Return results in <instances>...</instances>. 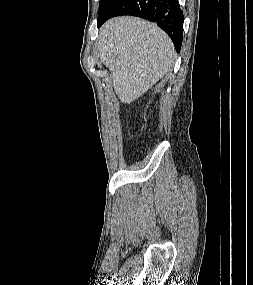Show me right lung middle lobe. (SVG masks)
<instances>
[{
    "mask_svg": "<svg viewBox=\"0 0 253 285\" xmlns=\"http://www.w3.org/2000/svg\"><path fill=\"white\" fill-rule=\"evenodd\" d=\"M112 1L113 0H100L98 16H100L106 11V9L109 7Z\"/></svg>",
    "mask_w": 253,
    "mask_h": 285,
    "instance_id": "obj_1",
    "label": "right lung middle lobe"
}]
</instances>
